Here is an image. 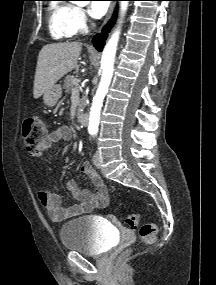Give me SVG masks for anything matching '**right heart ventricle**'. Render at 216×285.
<instances>
[{
	"mask_svg": "<svg viewBox=\"0 0 216 285\" xmlns=\"http://www.w3.org/2000/svg\"><path fill=\"white\" fill-rule=\"evenodd\" d=\"M72 11L73 7L67 3H52L49 6V31L55 40H65L75 35Z\"/></svg>",
	"mask_w": 216,
	"mask_h": 285,
	"instance_id": "1",
	"label": "right heart ventricle"
}]
</instances>
